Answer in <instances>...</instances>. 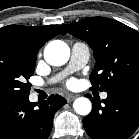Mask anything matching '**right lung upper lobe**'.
Segmentation results:
<instances>
[{
	"instance_id": "cb5924a9",
	"label": "right lung upper lobe",
	"mask_w": 139,
	"mask_h": 139,
	"mask_svg": "<svg viewBox=\"0 0 139 139\" xmlns=\"http://www.w3.org/2000/svg\"><path fill=\"white\" fill-rule=\"evenodd\" d=\"M58 34L66 33L56 25H8L0 29V44L16 45L37 55L39 48Z\"/></svg>"
}]
</instances>
